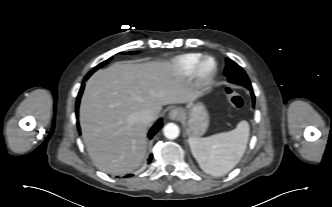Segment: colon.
Returning <instances> with one entry per match:
<instances>
[{"mask_svg": "<svg viewBox=\"0 0 332 207\" xmlns=\"http://www.w3.org/2000/svg\"><path fill=\"white\" fill-rule=\"evenodd\" d=\"M226 96H227L228 102L235 109H240L243 107L244 100H243L242 96L238 92H236L233 88H231V87L226 88Z\"/></svg>", "mask_w": 332, "mask_h": 207, "instance_id": "colon-1", "label": "colon"}]
</instances>
